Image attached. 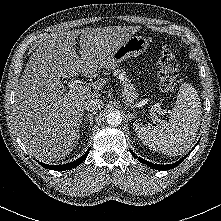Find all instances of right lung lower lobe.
Listing matches in <instances>:
<instances>
[{
  "instance_id": "98d812e1",
  "label": "right lung lower lobe",
  "mask_w": 221,
  "mask_h": 221,
  "mask_svg": "<svg viewBox=\"0 0 221 221\" xmlns=\"http://www.w3.org/2000/svg\"><path fill=\"white\" fill-rule=\"evenodd\" d=\"M89 150L79 159L70 162L68 164H63V165H49V164H44L42 162H40V165H42L44 168L46 169H51V170H57V171H65V170H69L72 168H75L76 166H78L79 164H81L87 157Z\"/></svg>"
}]
</instances>
